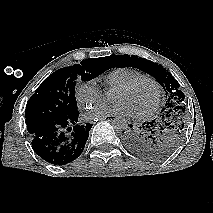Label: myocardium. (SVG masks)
Returning a JSON list of instances; mask_svg holds the SVG:
<instances>
[{"mask_svg": "<svg viewBox=\"0 0 213 213\" xmlns=\"http://www.w3.org/2000/svg\"><path fill=\"white\" fill-rule=\"evenodd\" d=\"M143 83H151L155 87L156 98H155L153 105L149 109H147L143 112L133 113V116L136 118H139V119H143L148 116H151L159 109L161 100H162V87H161L160 83L155 78L144 76V77L135 79L131 82L125 83L116 88V89H120V90H129V89H133Z\"/></svg>", "mask_w": 213, "mask_h": 213, "instance_id": "1", "label": "myocardium"}]
</instances>
